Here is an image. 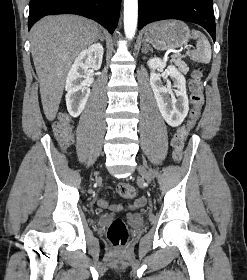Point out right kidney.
<instances>
[{
	"label": "right kidney",
	"mask_w": 247,
	"mask_h": 280,
	"mask_svg": "<svg viewBox=\"0 0 247 280\" xmlns=\"http://www.w3.org/2000/svg\"><path fill=\"white\" fill-rule=\"evenodd\" d=\"M103 52V46L99 43L89 46L78 54L67 74L66 105L69 114L74 118L82 113L90 94L88 69L98 70L101 67Z\"/></svg>",
	"instance_id": "ca27d5eb"
}]
</instances>
